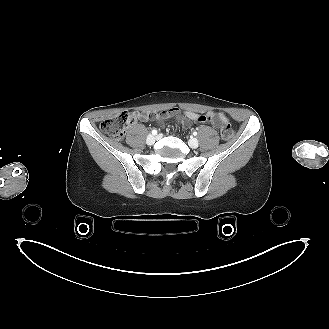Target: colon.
<instances>
[{
	"label": "colon",
	"mask_w": 329,
	"mask_h": 329,
	"mask_svg": "<svg viewBox=\"0 0 329 329\" xmlns=\"http://www.w3.org/2000/svg\"><path fill=\"white\" fill-rule=\"evenodd\" d=\"M136 116L131 112H121L113 117L103 120L100 128L107 136L114 139H122L125 135L126 129L135 120ZM234 131L229 123H225L221 128V136L223 139L232 138Z\"/></svg>",
	"instance_id": "5ec220e1"
}]
</instances>
